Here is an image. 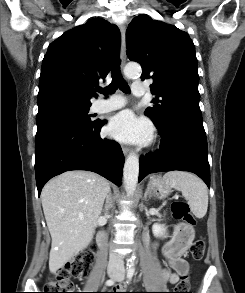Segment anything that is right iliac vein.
<instances>
[{
    "label": "right iliac vein",
    "instance_id": "right-iliac-vein-1",
    "mask_svg": "<svg viewBox=\"0 0 245 293\" xmlns=\"http://www.w3.org/2000/svg\"><path fill=\"white\" fill-rule=\"evenodd\" d=\"M109 275H110L112 278H116V277H117V273H115V272H110Z\"/></svg>",
    "mask_w": 245,
    "mask_h": 293
}]
</instances>
